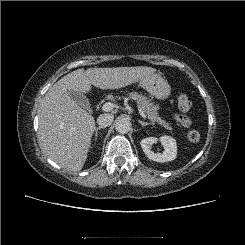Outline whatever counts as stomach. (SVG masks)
<instances>
[{
    "instance_id": "obj_1",
    "label": "stomach",
    "mask_w": 245,
    "mask_h": 245,
    "mask_svg": "<svg viewBox=\"0 0 245 245\" xmlns=\"http://www.w3.org/2000/svg\"><path fill=\"white\" fill-rule=\"evenodd\" d=\"M139 86L147 90L152 96L160 100H166L171 95V86L159 74H151L138 81Z\"/></svg>"
}]
</instances>
